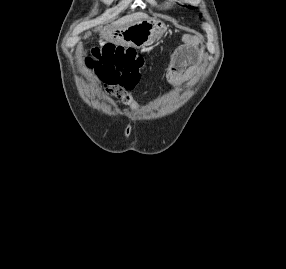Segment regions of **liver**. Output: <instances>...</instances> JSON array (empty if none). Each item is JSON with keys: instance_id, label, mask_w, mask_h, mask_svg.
<instances>
[{"instance_id": "1", "label": "liver", "mask_w": 286, "mask_h": 269, "mask_svg": "<svg viewBox=\"0 0 286 269\" xmlns=\"http://www.w3.org/2000/svg\"><path fill=\"white\" fill-rule=\"evenodd\" d=\"M140 20H150V18L145 13H135L118 19L117 21L112 23V26L116 28H126L134 22Z\"/></svg>"}]
</instances>
